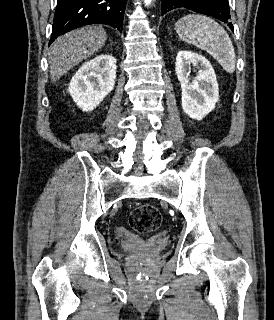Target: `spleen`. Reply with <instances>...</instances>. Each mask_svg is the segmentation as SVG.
Masks as SVG:
<instances>
[{
  "instance_id": "spleen-1",
  "label": "spleen",
  "mask_w": 274,
  "mask_h": 320,
  "mask_svg": "<svg viewBox=\"0 0 274 320\" xmlns=\"http://www.w3.org/2000/svg\"><path fill=\"white\" fill-rule=\"evenodd\" d=\"M175 30L181 40L194 44L213 56L225 72H235L236 56L234 46L224 28L206 16L189 14L176 22Z\"/></svg>"
}]
</instances>
